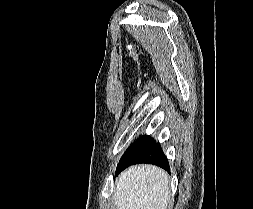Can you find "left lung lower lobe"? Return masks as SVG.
I'll use <instances>...</instances> for the list:
<instances>
[{
    "mask_svg": "<svg viewBox=\"0 0 253 209\" xmlns=\"http://www.w3.org/2000/svg\"><path fill=\"white\" fill-rule=\"evenodd\" d=\"M153 164L156 166H159L166 170L167 172H170V166L168 163V159L163 153V150L159 143L153 142L148 148H146L144 151H142L140 154L136 156H127L120 160L117 169H116V175H118L120 172L125 170L131 165L136 164Z\"/></svg>",
    "mask_w": 253,
    "mask_h": 209,
    "instance_id": "0a47b994",
    "label": "left lung lower lobe"
}]
</instances>
